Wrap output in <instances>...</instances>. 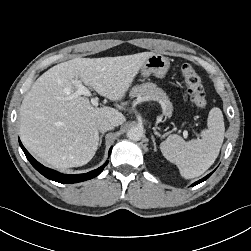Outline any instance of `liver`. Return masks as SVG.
<instances>
[{
	"label": "liver",
	"mask_w": 251,
	"mask_h": 251,
	"mask_svg": "<svg viewBox=\"0 0 251 251\" xmlns=\"http://www.w3.org/2000/svg\"><path fill=\"white\" fill-rule=\"evenodd\" d=\"M153 54L75 58L47 70L34 82L20 107L19 131L24 146L54 168L87 164L99 145L98 119H108L115 126L126 119L112 107H93L88 98L73 96L77 91L73 80L119 101Z\"/></svg>",
	"instance_id": "obj_1"
}]
</instances>
